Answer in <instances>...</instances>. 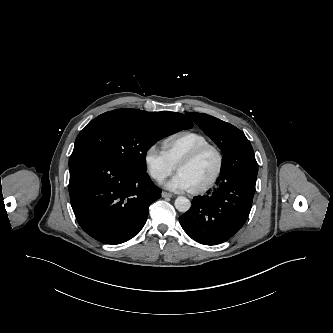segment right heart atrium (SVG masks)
<instances>
[{
    "mask_svg": "<svg viewBox=\"0 0 333 333\" xmlns=\"http://www.w3.org/2000/svg\"><path fill=\"white\" fill-rule=\"evenodd\" d=\"M144 164L148 174L158 183L172 175L176 168L164 151L156 145H150L145 150Z\"/></svg>",
    "mask_w": 333,
    "mask_h": 333,
    "instance_id": "d8ad5b80",
    "label": "right heart atrium"
}]
</instances>
